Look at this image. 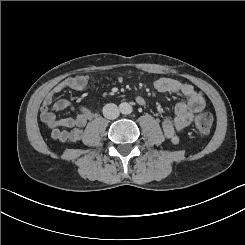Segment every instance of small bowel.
<instances>
[{
	"label": "small bowel",
	"instance_id": "small-bowel-1",
	"mask_svg": "<svg viewBox=\"0 0 245 245\" xmlns=\"http://www.w3.org/2000/svg\"><path fill=\"white\" fill-rule=\"evenodd\" d=\"M121 82L122 78L119 77ZM90 84L88 76L79 75L66 78L54 86L44 97L40 109V119L51 131V136L61 142H76L82 137V128L94 117L86 107H74L65 99L56 100L55 97L66 89L83 91ZM154 88L161 93H176L184 96L185 101L179 102L175 107L174 119H165L162 122L164 136L173 144L179 143V134L184 131L192 122L194 114L199 113L205 107L204 95L192 85L179 80L162 77L154 81ZM139 105L147 104L144 97H136ZM77 109L78 115L64 119H57L55 112L64 109Z\"/></svg>",
	"mask_w": 245,
	"mask_h": 245
}]
</instances>
